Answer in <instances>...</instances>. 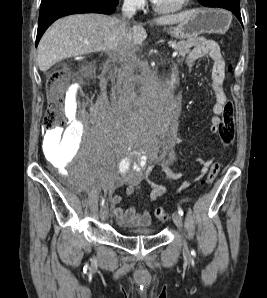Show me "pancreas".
Wrapping results in <instances>:
<instances>
[{
  "instance_id": "pancreas-1",
  "label": "pancreas",
  "mask_w": 267,
  "mask_h": 298,
  "mask_svg": "<svg viewBox=\"0 0 267 298\" xmlns=\"http://www.w3.org/2000/svg\"><path fill=\"white\" fill-rule=\"evenodd\" d=\"M199 42V38L197 36L190 37L185 41H171L170 45L178 51V54L180 56H185L186 54L190 53L191 48L195 46Z\"/></svg>"
}]
</instances>
